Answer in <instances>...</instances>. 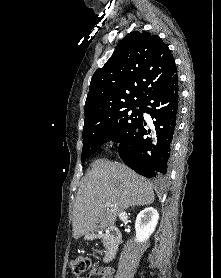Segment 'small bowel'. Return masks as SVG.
Returning <instances> with one entry per match:
<instances>
[{
  "label": "small bowel",
  "instance_id": "c3829d8e",
  "mask_svg": "<svg viewBox=\"0 0 221 278\" xmlns=\"http://www.w3.org/2000/svg\"><path fill=\"white\" fill-rule=\"evenodd\" d=\"M113 269L110 267H93L91 272L87 275L86 278H112Z\"/></svg>",
  "mask_w": 221,
  "mask_h": 278
}]
</instances>
